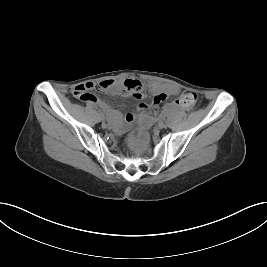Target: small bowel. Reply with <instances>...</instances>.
Returning a JSON list of instances; mask_svg holds the SVG:
<instances>
[{"instance_id":"obj_1","label":"small bowel","mask_w":267,"mask_h":267,"mask_svg":"<svg viewBox=\"0 0 267 267\" xmlns=\"http://www.w3.org/2000/svg\"><path fill=\"white\" fill-rule=\"evenodd\" d=\"M103 82H106V81H103ZM90 83V82H88ZM112 85V82L108 83L107 84V87H110ZM79 86H83V84L81 85H78V86H75L73 89H72V94L74 97H76L75 95V91H76V88L79 87ZM115 86L119 87L120 84L119 83H116ZM147 90L154 94L155 96L165 92L166 94H169V95H175L178 93V88L175 87V86H172V85H168V86H162L160 84H157V83H151L147 86ZM164 93V94H165ZM135 98L137 99H140L141 97H136ZM87 102H90V103H93L94 105L98 106L99 108H101L102 110H104L106 113H112V109L109 105H107L105 102L99 100V99H96V98H92L90 100H86ZM155 106H157L158 104L157 103H154ZM137 108L139 111H146L149 106L148 104L146 103H143V102H139L138 105H137ZM178 110V107L175 105V104H170L167 106V111H170V112H175ZM125 119L126 121L130 122L134 119V116L133 114L131 113H127L126 116H125Z\"/></svg>"}]
</instances>
